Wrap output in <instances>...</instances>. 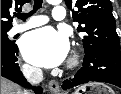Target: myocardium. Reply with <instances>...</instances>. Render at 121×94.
<instances>
[{"label": "myocardium", "instance_id": "1", "mask_svg": "<svg viewBox=\"0 0 121 94\" xmlns=\"http://www.w3.org/2000/svg\"><path fill=\"white\" fill-rule=\"evenodd\" d=\"M78 63L77 57L74 56L70 59L69 63H68V67L72 68L74 66H76Z\"/></svg>", "mask_w": 121, "mask_h": 94}]
</instances>
